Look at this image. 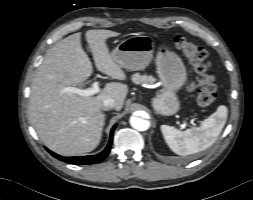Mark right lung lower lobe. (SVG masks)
Here are the masks:
<instances>
[{
	"mask_svg": "<svg viewBox=\"0 0 253 200\" xmlns=\"http://www.w3.org/2000/svg\"><path fill=\"white\" fill-rule=\"evenodd\" d=\"M114 126L111 129V133H110V140L109 143L107 145V147L99 154L97 155H89V156H79V157H61L57 154H55L54 152L48 150L54 157H56L57 159L70 163V164H94V163H99L101 162L110 152L111 149V144H112V138H113V132L115 130Z\"/></svg>",
	"mask_w": 253,
	"mask_h": 200,
	"instance_id": "right-lung-lower-lobe-1",
	"label": "right lung lower lobe"
}]
</instances>
